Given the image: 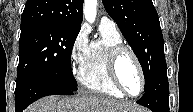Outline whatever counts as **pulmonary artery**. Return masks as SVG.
Returning a JSON list of instances; mask_svg holds the SVG:
<instances>
[{"label":"pulmonary artery","mask_w":193,"mask_h":112,"mask_svg":"<svg viewBox=\"0 0 193 112\" xmlns=\"http://www.w3.org/2000/svg\"><path fill=\"white\" fill-rule=\"evenodd\" d=\"M100 27L109 28L112 30H117V25L113 19L107 16H103L100 21Z\"/></svg>","instance_id":"1"}]
</instances>
